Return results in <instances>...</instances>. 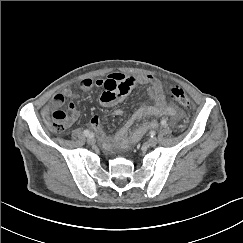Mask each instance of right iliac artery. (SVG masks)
I'll return each instance as SVG.
<instances>
[{"label": "right iliac artery", "instance_id": "right-iliac-artery-1", "mask_svg": "<svg viewBox=\"0 0 243 243\" xmlns=\"http://www.w3.org/2000/svg\"><path fill=\"white\" fill-rule=\"evenodd\" d=\"M83 134L86 136V137H92V134L88 131V130H84Z\"/></svg>", "mask_w": 243, "mask_h": 243}]
</instances>
